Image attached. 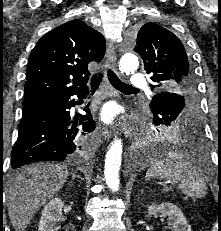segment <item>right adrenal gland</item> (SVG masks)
<instances>
[{
	"label": "right adrenal gland",
	"mask_w": 221,
	"mask_h": 231,
	"mask_svg": "<svg viewBox=\"0 0 221 231\" xmlns=\"http://www.w3.org/2000/svg\"><path fill=\"white\" fill-rule=\"evenodd\" d=\"M71 175H72V180H74L75 178H79V179L82 180V178L80 177V175L76 174V172H72Z\"/></svg>",
	"instance_id": "right-adrenal-gland-1"
}]
</instances>
